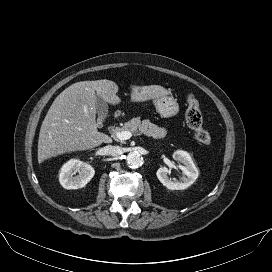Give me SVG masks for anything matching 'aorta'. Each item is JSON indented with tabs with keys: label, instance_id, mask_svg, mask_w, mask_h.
Here are the masks:
<instances>
[{
	"label": "aorta",
	"instance_id": "obj_1",
	"mask_svg": "<svg viewBox=\"0 0 272 272\" xmlns=\"http://www.w3.org/2000/svg\"><path fill=\"white\" fill-rule=\"evenodd\" d=\"M126 162L131 168H137L142 163V157L137 152H130L126 157Z\"/></svg>",
	"mask_w": 272,
	"mask_h": 272
}]
</instances>
